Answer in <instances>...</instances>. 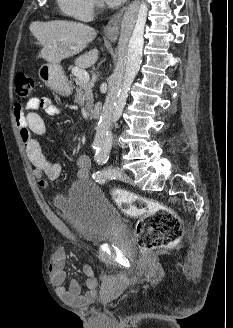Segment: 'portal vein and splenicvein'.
<instances>
[{
  "label": "portal vein and splenic vein",
  "instance_id": "18ae733b",
  "mask_svg": "<svg viewBox=\"0 0 233 328\" xmlns=\"http://www.w3.org/2000/svg\"><path fill=\"white\" fill-rule=\"evenodd\" d=\"M72 74L77 76L79 80H82L85 83H88L90 80L89 74L86 71L80 69L79 67H74L72 69Z\"/></svg>",
  "mask_w": 233,
  "mask_h": 328
}]
</instances>
